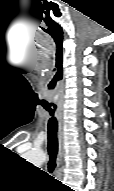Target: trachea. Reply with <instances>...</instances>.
Listing matches in <instances>:
<instances>
[{"mask_svg":"<svg viewBox=\"0 0 114 191\" xmlns=\"http://www.w3.org/2000/svg\"><path fill=\"white\" fill-rule=\"evenodd\" d=\"M51 118L48 121V154H49V162H48V170L52 173L56 167V158L58 153V122L56 117L54 116L55 110L51 108H45Z\"/></svg>","mask_w":114,"mask_h":191,"instance_id":"trachea-1","label":"trachea"}]
</instances>
